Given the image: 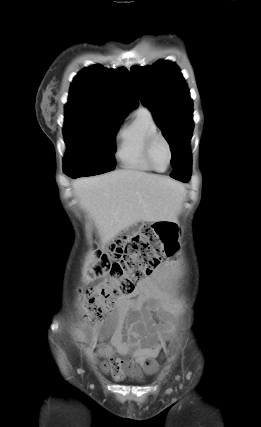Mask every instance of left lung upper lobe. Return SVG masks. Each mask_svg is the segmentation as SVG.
Returning a JSON list of instances; mask_svg holds the SVG:
<instances>
[{"mask_svg":"<svg viewBox=\"0 0 261 427\" xmlns=\"http://www.w3.org/2000/svg\"><path fill=\"white\" fill-rule=\"evenodd\" d=\"M130 74L140 101L151 110L170 145L173 168L179 166L193 131V105L185 79L179 68L167 61L133 67Z\"/></svg>","mask_w":261,"mask_h":427,"instance_id":"obj_1","label":"left lung upper lobe"}]
</instances>
